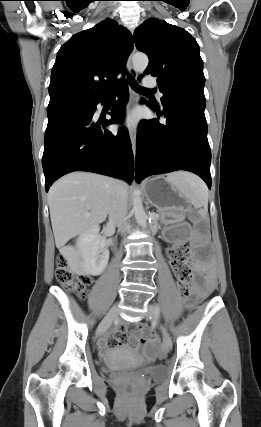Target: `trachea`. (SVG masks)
I'll return each mask as SVG.
<instances>
[{"label":"trachea","instance_id":"3493384b","mask_svg":"<svg viewBox=\"0 0 261 427\" xmlns=\"http://www.w3.org/2000/svg\"><path fill=\"white\" fill-rule=\"evenodd\" d=\"M128 81H129V84H130L131 88H132L134 91L138 92V93H148V92H153V91H152V90H150V89H147V88L141 87V86L136 82V80H135V79H133V78H132V77H130V76H128ZM117 92H118V88H117L116 86H113V87H112V89L110 90L109 94H110V95H115V94H117Z\"/></svg>","mask_w":261,"mask_h":427}]
</instances>
